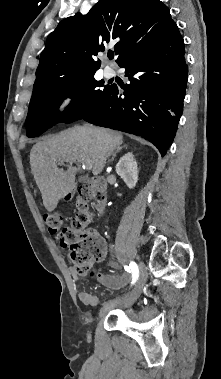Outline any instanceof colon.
I'll use <instances>...</instances> for the list:
<instances>
[{"mask_svg": "<svg viewBox=\"0 0 221 379\" xmlns=\"http://www.w3.org/2000/svg\"><path fill=\"white\" fill-rule=\"evenodd\" d=\"M103 199V189L83 187L75 201L76 215L70 225L64 226L63 217L58 213H47L43 216L48 231L55 236L61 247L68 249L70 261L80 275L90 274L89 268L104 257L100 238L91 228L90 211L93 203Z\"/></svg>", "mask_w": 221, "mask_h": 379, "instance_id": "colon-1", "label": "colon"}]
</instances>
